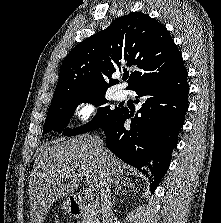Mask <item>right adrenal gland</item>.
Here are the masks:
<instances>
[{"label":"right adrenal gland","instance_id":"1","mask_svg":"<svg viewBox=\"0 0 221 223\" xmlns=\"http://www.w3.org/2000/svg\"><path fill=\"white\" fill-rule=\"evenodd\" d=\"M116 188H115V191L113 193V196H112V203L115 204L116 201V195L119 193V191L123 188V187H131V188H134V183L131 182L130 178H125V180L121 181V183L119 184H115Z\"/></svg>","mask_w":221,"mask_h":223}]
</instances>
